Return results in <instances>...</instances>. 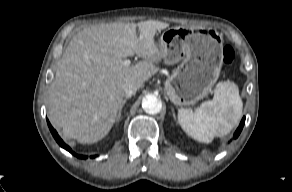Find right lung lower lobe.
<instances>
[{
  "instance_id": "98d812e1",
  "label": "right lung lower lobe",
  "mask_w": 292,
  "mask_h": 192,
  "mask_svg": "<svg viewBox=\"0 0 292 192\" xmlns=\"http://www.w3.org/2000/svg\"><path fill=\"white\" fill-rule=\"evenodd\" d=\"M47 123H48V126H49V129L53 135V137L55 138V140L57 141V143L64 149H66L67 151H69L70 153H72L73 155H75L76 157L78 158H81V159H86L87 157L86 156H83V155H77L75 154L71 148L66 145L62 139L59 137V135L57 134V132L53 129V127L51 126V124L49 123V121L47 120ZM95 156H91V158H94Z\"/></svg>"
}]
</instances>
